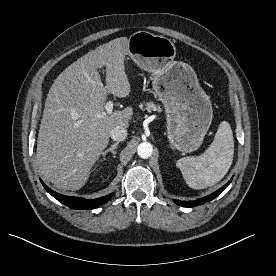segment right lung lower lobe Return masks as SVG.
Instances as JSON below:
<instances>
[{
  "label": "right lung lower lobe",
  "mask_w": 276,
  "mask_h": 276,
  "mask_svg": "<svg viewBox=\"0 0 276 276\" xmlns=\"http://www.w3.org/2000/svg\"><path fill=\"white\" fill-rule=\"evenodd\" d=\"M41 182L49 194H51L59 202L63 203L64 205L72 209H93L98 207L99 205L105 204L113 196V194H110L108 196H103L101 198L94 199V200H87V199L78 198V197H70V196L59 194L51 190L46 184L43 183L42 180Z\"/></svg>",
  "instance_id": "obj_1"
}]
</instances>
